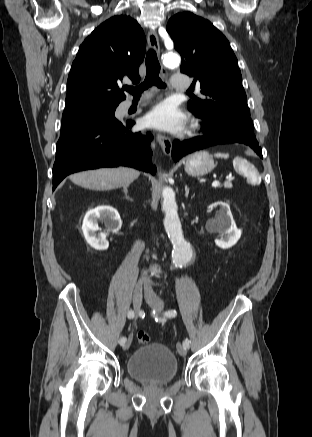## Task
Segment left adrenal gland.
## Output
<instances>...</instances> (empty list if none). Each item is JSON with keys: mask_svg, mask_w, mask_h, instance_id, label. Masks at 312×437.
I'll return each instance as SVG.
<instances>
[{"mask_svg": "<svg viewBox=\"0 0 312 437\" xmlns=\"http://www.w3.org/2000/svg\"><path fill=\"white\" fill-rule=\"evenodd\" d=\"M189 195V188L187 187V185H185V196L188 197Z\"/></svg>", "mask_w": 312, "mask_h": 437, "instance_id": "a2214340", "label": "left adrenal gland"}]
</instances>
